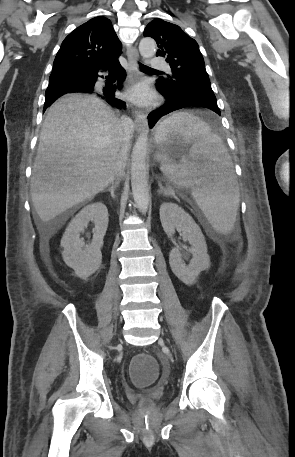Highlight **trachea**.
I'll return each instance as SVG.
<instances>
[{"label":"trachea","instance_id":"obj_1","mask_svg":"<svg viewBox=\"0 0 295 457\" xmlns=\"http://www.w3.org/2000/svg\"><path fill=\"white\" fill-rule=\"evenodd\" d=\"M140 68H141L142 70H153L152 68H150V67H148V66H145V65H143V64H140Z\"/></svg>","mask_w":295,"mask_h":457}]
</instances>
